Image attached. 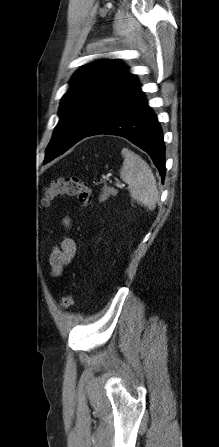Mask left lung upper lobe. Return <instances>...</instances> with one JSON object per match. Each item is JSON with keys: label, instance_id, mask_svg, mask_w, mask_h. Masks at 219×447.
<instances>
[{"label": "left lung upper lobe", "instance_id": "1", "mask_svg": "<svg viewBox=\"0 0 219 447\" xmlns=\"http://www.w3.org/2000/svg\"><path fill=\"white\" fill-rule=\"evenodd\" d=\"M136 82L135 75L114 59L83 66L62 98L60 119L46 149L45 161L82 140Z\"/></svg>", "mask_w": 219, "mask_h": 447}]
</instances>
